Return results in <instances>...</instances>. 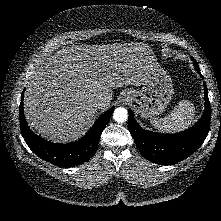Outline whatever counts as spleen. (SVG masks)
<instances>
[{
    "label": "spleen",
    "instance_id": "1",
    "mask_svg": "<svg viewBox=\"0 0 221 221\" xmlns=\"http://www.w3.org/2000/svg\"><path fill=\"white\" fill-rule=\"evenodd\" d=\"M195 116V107L188 100H182L175 109L164 118H153L150 122L160 132L177 133L187 129Z\"/></svg>",
    "mask_w": 221,
    "mask_h": 221
}]
</instances>
